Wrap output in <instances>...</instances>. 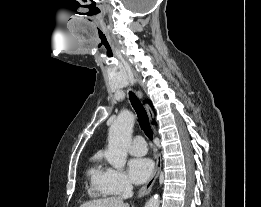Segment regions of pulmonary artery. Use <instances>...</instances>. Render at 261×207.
I'll return each instance as SVG.
<instances>
[{"label":"pulmonary artery","instance_id":"1","mask_svg":"<svg viewBox=\"0 0 261 207\" xmlns=\"http://www.w3.org/2000/svg\"><path fill=\"white\" fill-rule=\"evenodd\" d=\"M129 152L135 156L145 155L147 152L146 142L142 136H136L129 148Z\"/></svg>","mask_w":261,"mask_h":207}]
</instances>
